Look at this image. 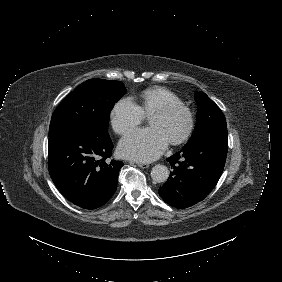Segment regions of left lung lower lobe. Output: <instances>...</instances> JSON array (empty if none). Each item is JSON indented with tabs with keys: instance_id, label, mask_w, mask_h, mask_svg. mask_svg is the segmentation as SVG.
<instances>
[{
	"instance_id": "0a47b994",
	"label": "left lung lower lobe",
	"mask_w": 282,
	"mask_h": 282,
	"mask_svg": "<svg viewBox=\"0 0 282 282\" xmlns=\"http://www.w3.org/2000/svg\"><path fill=\"white\" fill-rule=\"evenodd\" d=\"M227 126L208 129L190 139L167 161L173 166L159 195L169 205L187 208L203 200L217 184L227 156Z\"/></svg>"
}]
</instances>
